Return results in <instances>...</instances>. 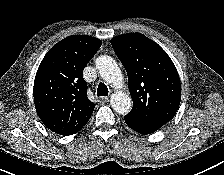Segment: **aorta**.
Here are the masks:
<instances>
[{"instance_id":"762f6f07","label":"aorta","mask_w":224,"mask_h":175,"mask_svg":"<svg viewBox=\"0 0 224 175\" xmlns=\"http://www.w3.org/2000/svg\"><path fill=\"white\" fill-rule=\"evenodd\" d=\"M96 68L100 76L115 89H120L123 86L121 70L112 57L108 55L99 56L96 59ZM110 103L112 108L121 115L129 113L132 108L130 96L118 90L112 94Z\"/></svg>"}]
</instances>
